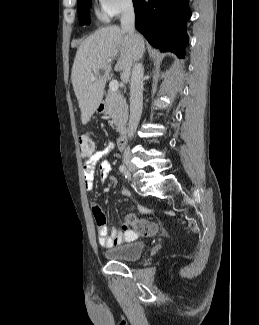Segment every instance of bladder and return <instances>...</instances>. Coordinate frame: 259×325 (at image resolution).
Returning <instances> with one entry per match:
<instances>
[{
	"label": "bladder",
	"mask_w": 259,
	"mask_h": 325,
	"mask_svg": "<svg viewBox=\"0 0 259 325\" xmlns=\"http://www.w3.org/2000/svg\"><path fill=\"white\" fill-rule=\"evenodd\" d=\"M145 249L143 241L137 240L113 246L104 251V256L110 261L132 262L138 260Z\"/></svg>",
	"instance_id": "1"
}]
</instances>
